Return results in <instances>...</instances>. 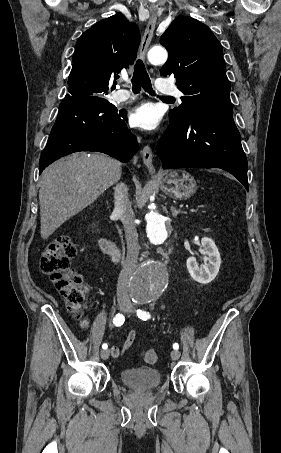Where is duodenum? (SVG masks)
Returning <instances> with one entry per match:
<instances>
[{
	"mask_svg": "<svg viewBox=\"0 0 281 453\" xmlns=\"http://www.w3.org/2000/svg\"><path fill=\"white\" fill-rule=\"evenodd\" d=\"M100 247L102 251L108 254L114 261L120 259V250L114 242L103 238L100 240Z\"/></svg>",
	"mask_w": 281,
	"mask_h": 453,
	"instance_id": "1",
	"label": "duodenum"
}]
</instances>
